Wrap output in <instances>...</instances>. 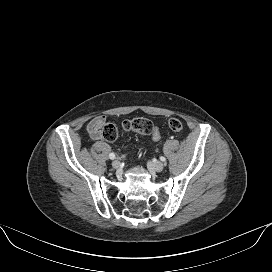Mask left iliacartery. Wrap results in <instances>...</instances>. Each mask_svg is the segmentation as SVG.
<instances>
[{"label": "left iliac artery", "instance_id": "44dca946", "mask_svg": "<svg viewBox=\"0 0 272 272\" xmlns=\"http://www.w3.org/2000/svg\"><path fill=\"white\" fill-rule=\"evenodd\" d=\"M160 160L163 161V162H165V161H166V158L163 157V156H161V157H160Z\"/></svg>", "mask_w": 272, "mask_h": 272}]
</instances>
